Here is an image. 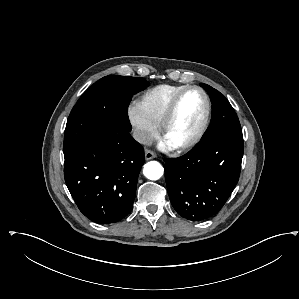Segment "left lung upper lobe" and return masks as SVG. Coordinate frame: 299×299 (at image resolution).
<instances>
[{
    "label": "left lung upper lobe",
    "instance_id": "left-lung-upper-lobe-1",
    "mask_svg": "<svg viewBox=\"0 0 299 299\" xmlns=\"http://www.w3.org/2000/svg\"><path fill=\"white\" fill-rule=\"evenodd\" d=\"M200 86L208 92L212 103L211 122L201 140L219 135L243 137L239 119L224 95L209 85Z\"/></svg>",
    "mask_w": 299,
    "mask_h": 299
}]
</instances>
